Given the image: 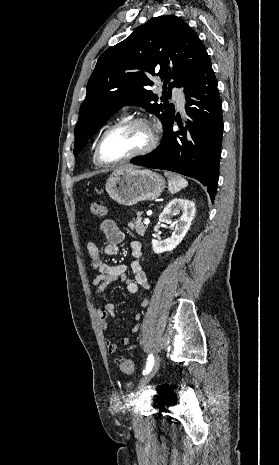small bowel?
I'll use <instances>...</instances> for the list:
<instances>
[{
    "label": "small bowel",
    "mask_w": 279,
    "mask_h": 465,
    "mask_svg": "<svg viewBox=\"0 0 279 465\" xmlns=\"http://www.w3.org/2000/svg\"><path fill=\"white\" fill-rule=\"evenodd\" d=\"M100 230L106 237V243L103 248V252L106 255H116L119 252V244L124 240V233L118 228L113 220H104L100 224ZM131 254L133 260L129 264H117L108 265L100 259V249L97 244L93 241L87 243V251L92 260V266L97 270L94 275L92 284L95 288L96 293H102L105 289L118 282L123 281L126 285V289L129 293L135 294L139 288L149 289L150 285L148 282L147 275L142 268L139 258L142 255V245L139 241H132L130 243ZM130 270L133 274L132 279L126 277L127 271ZM148 301L144 299L142 306L146 307ZM114 316V305L107 303L97 311V318L99 325L103 330L107 329V321L110 317ZM135 319L139 321L141 319L140 314L135 315ZM140 325L135 324L131 331L135 332L139 329ZM129 338L125 337L121 339L122 345H127ZM105 345L107 352L113 354L117 351L118 345L110 338L105 339Z\"/></svg>",
    "instance_id": "1"
}]
</instances>
